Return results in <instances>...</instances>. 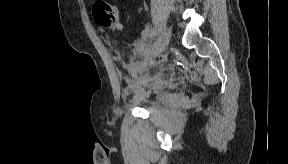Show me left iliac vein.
<instances>
[{"mask_svg":"<svg viewBox=\"0 0 288 164\" xmlns=\"http://www.w3.org/2000/svg\"><path fill=\"white\" fill-rule=\"evenodd\" d=\"M169 39H170V31L169 30H164L162 31L157 39V44L154 48V53H153V57L156 58L157 56H159L167 47L168 43H169ZM154 59H152L150 61V63H153ZM148 65H144L143 70H147Z\"/></svg>","mask_w":288,"mask_h":164,"instance_id":"1","label":"left iliac vein"}]
</instances>
